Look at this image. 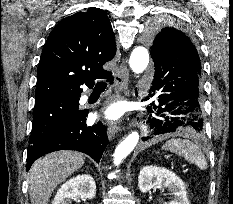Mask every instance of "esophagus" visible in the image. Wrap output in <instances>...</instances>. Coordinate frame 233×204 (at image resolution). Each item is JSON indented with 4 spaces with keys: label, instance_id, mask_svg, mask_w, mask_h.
Listing matches in <instances>:
<instances>
[{
    "label": "esophagus",
    "instance_id": "1",
    "mask_svg": "<svg viewBox=\"0 0 233 204\" xmlns=\"http://www.w3.org/2000/svg\"><path fill=\"white\" fill-rule=\"evenodd\" d=\"M129 81V70L125 64H121L119 70L115 75L116 93L118 97L127 95ZM119 131L117 123H110L107 129V135L109 140H112L116 133Z\"/></svg>",
    "mask_w": 233,
    "mask_h": 204
}]
</instances>
